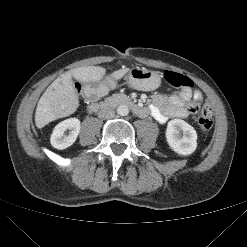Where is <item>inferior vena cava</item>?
Returning <instances> with one entry per match:
<instances>
[{"mask_svg": "<svg viewBox=\"0 0 247 247\" xmlns=\"http://www.w3.org/2000/svg\"><path fill=\"white\" fill-rule=\"evenodd\" d=\"M115 116V110L110 107H104L98 112V117L101 119H112Z\"/></svg>", "mask_w": 247, "mask_h": 247, "instance_id": "602c4592", "label": "inferior vena cava"}]
</instances>
